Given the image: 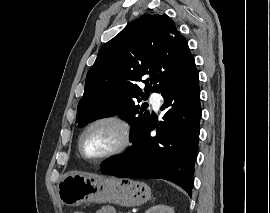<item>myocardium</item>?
<instances>
[{"label": "myocardium", "instance_id": "myocardium-1", "mask_svg": "<svg viewBox=\"0 0 270 213\" xmlns=\"http://www.w3.org/2000/svg\"><path fill=\"white\" fill-rule=\"evenodd\" d=\"M99 124H111V125H114L115 127H117L120 131V134H121V140H120V143L115 148H113L112 150H110L106 154H104L100 157L93 158V157L88 156L85 153V151L83 149V140H84L86 133L91 128H93ZM130 138H131L130 128H129L128 123L124 119H122L121 117L116 116V115H102V116H98V117L94 118L93 120H91L83 128V130L81 131L79 138H78V150H79L80 155L85 160L90 161V162H94V163H99V162H103L105 160L111 159L113 157H116L119 154L123 153L130 143Z\"/></svg>", "mask_w": 270, "mask_h": 213}]
</instances>
